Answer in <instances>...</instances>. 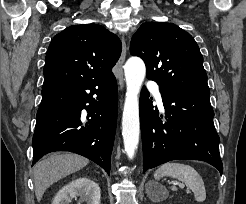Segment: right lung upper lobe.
Listing matches in <instances>:
<instances>
[{
	"label": "right lung upper lobe",
	"mask_w": 246,
	"mask_h": 204,
	"mask_svg": "<svg viewBox=\"0 0 246 204\" xmlns=\"http://www.w3.org/2000/svg\"><path fill=\"white\" fill-rule=\"evenodd\" d=\"M121 49L118 37L101 25L70 26L49 46L42 88L111 76Z\"/></svg>",
	"instance_id": "cb5924a9"
}]
</instances>
